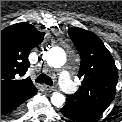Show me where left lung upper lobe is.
<instances>
[{"label": "left lung upper lobe", "mask_w": 122, "mask_h": 122, "mask_svg": "<svg viewBox=\"0 0 122 122\" xmlns=\"http://www.w3.org/2000/svg\"><path fill=\"white\" fill-rule=\"evenodd\" d=\"M69 36L81 56L78 77L82 79L78 91L69 96L104 112L114 99L118 81L113 57L100 38L90 31L70 28Z\"/></svg>", "instance_id": "obj_1"}]
</instances>
